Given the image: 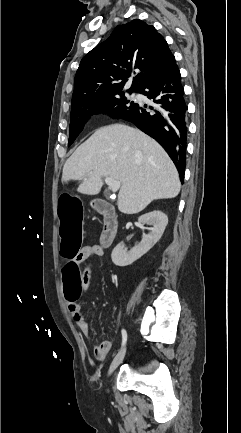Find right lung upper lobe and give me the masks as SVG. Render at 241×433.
<instances>
[{
    "label": "right lung upper lobe",
    "instance_id": "1",
    "mask_svg": "<svg viewBox=\"0 0 241 433\" xmlns=\"http://www.w3.org/2000/svg\"><path fill=\"white\" fill-rule=\"evenodd\" d=\"M175 62L167 42L141 20L117 26L110 37L87 53L74 80L72 105L122 92L132 73L129 91H139Z\"/></svg>",
    "mask_w": 241,
    "mask_h": 433
}]
</instances>
